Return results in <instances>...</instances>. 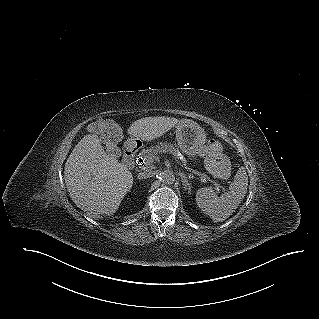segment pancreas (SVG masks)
I'll return each mask as SVG.
<instances>
[{"mask_svg":"<svg viewBox=\"0 0 319 319\" xmlns=\"http://www.w3.org/2000/svg\"><path fill=\"white\" fill-rule=\"evenodd\" d=\"M159 153H170L173 156L177 157L179 154V150L175 144H169L166 142L159 143L156 146L150 147L147 150V153L144 155L146 163L148 165L151 164V163H148V160L150 158H152L154 160ZM200 175H204V174H200Z\"/></svg>","mask_w":319,"mask_h":319,"instance_id":"pancreas-1","label":"pancreas"}]
</instances>
